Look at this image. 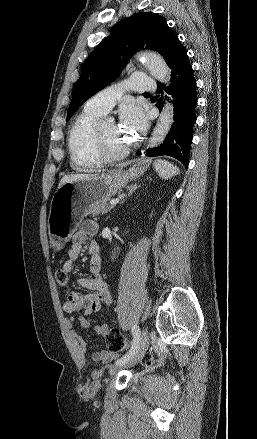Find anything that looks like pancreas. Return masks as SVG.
<instances>
[{
    "label": "pancreas",
    "instance_id": "obj_1",
    "mask_svg": "<svg viewBox=\"0 0 257 439\" xmlns=\"http://www.w3.org/2000/svg\"><path fill=\"white\" fill-rule=\"evenodd\" d=\"M109 201H110V199H102V200H99V201L95 202V204H93L90 207L88 212L90 214H92L93 216H97V215H100V214L107 213L112 208H114L113 205H108Z\"/></svg>",
    "mask_w": 257,
    "mask_h": 439
}]
</instances>
